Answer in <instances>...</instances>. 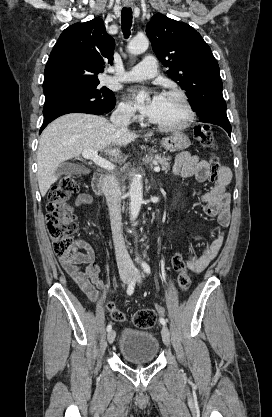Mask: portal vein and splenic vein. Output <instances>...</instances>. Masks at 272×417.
I'll return each instance as SVG.
<instances>
[{
    "mask_svg": "<svg viewBox=\"0 0 272 417\" xmlns=\"http://www.w3.org/2000/svg\"><path fill=\"white\" fill-rule=\"evenodd\" d=\"M82 157L85 159H90L91 161H93L96 165H98L99 167L106 169V170H114L115 166L114 164H112L110 161L100 157L98 155L97 151L94 150H84L82 152ZM154 171L155 172H159L160 171V167L156 166L154 167Z\"/></svg>",
    "mask_w": 272,
    "mask_h": 417,
    "instance_id": "18ae733b",
    "label": "portal vein and splenic vein"
}]
</instances>
